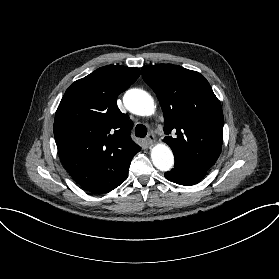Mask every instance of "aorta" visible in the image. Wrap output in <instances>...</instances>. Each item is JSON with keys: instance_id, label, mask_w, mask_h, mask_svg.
<instances>
[{"instance_id": "aorta-1", "label": "aorta", "mask_w": 279, "mask_h": 279, "mask_svg": "<svg viewBox=\"0 0 279 279\" xmlns=\"http://www.w3.org/2000/svg\"><path fill=\"white\" fill-rule=\"evenodd\" d=\"M127 110L140 116H150L155 111L154 100L141 89H130L123 97ZM153 165L160 171H169L174 165V155L166 144H157L151 150Z\"/></svg>"}]
</instances>
